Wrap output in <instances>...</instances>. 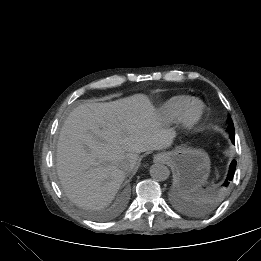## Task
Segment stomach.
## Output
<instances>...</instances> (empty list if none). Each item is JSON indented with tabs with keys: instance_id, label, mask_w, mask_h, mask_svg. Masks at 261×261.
Instances as JSON below:
<instances>
[{
	"instance_id": "stomach-1",
	"label": "stomach",
	"mask_w": 261,
	"mask_h": 261,
	"mask_svg": "<svg viewBox=\"0 0 261 261\" xmlns=\"http://www.w3.org/2000/svg\"><path fill=\"white\" fill-rule=\"evenodd\" d=\"M162 156L173 169L175 183L182 191L194 192L206 183L210 159L203 150L181 146Z\"/></svg>"
}]
</instances>
